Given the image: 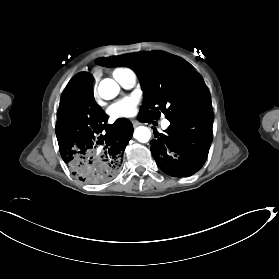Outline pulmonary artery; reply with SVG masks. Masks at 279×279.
Instances as JSON below:
<instances>
[{"label":"pulmonary artery","instance_id":"e3ab8cb5","mask_svg":"<svg viewBox=\"0 0 279 279\" xmlns=\"http://www.w3.org/2000/svg\"><path fill=\"white\" fill-rule=\"evenodd\" d=\"M136 84V76L133 72H129L126 76L122 78V87L125 89H131Z\"/></svg>","mask_w":279,"mask_h":279}]
</instances>
